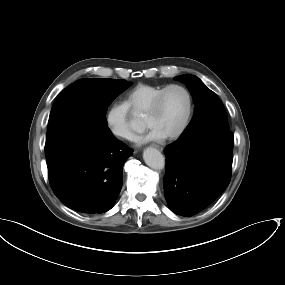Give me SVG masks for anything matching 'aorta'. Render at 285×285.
<instances>
[{
    "label": "aorta",
    "mask_w": 285,
    "mask_h": 285,
    "mask_svg": "<svg viewBox=\"0 0 285 285\" xmlns=\"http://www.w3.org/2000/svg\"><path fill=\"white\" fill-rule=\"evenodd\" d=\"M143 159L145 163L152 169L161 170L165 167L164 156L155 148H146L143 152Z\"/></svg>",
    "instance_id": "obj_1"
}]
</instances>
